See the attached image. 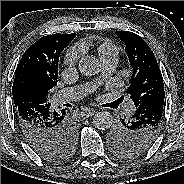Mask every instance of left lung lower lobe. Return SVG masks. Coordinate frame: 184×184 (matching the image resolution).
<instances>
[{
  "instance_id": "1",
  "label": "left lung lower lobe",
  "mask_w": 184,
  "mask_h": 184,
  "mask_svg": "<svg viewBox=\"0 0 184 184\" xmlns=\"http://www.w3.org/2000/svg\"><path fill=\"white\" fill-rule=\"evenodd\" d=\"M164 105V96L158 95L152 101L141 103L135 114L129 121L133 125L141 126L142 124L151 123L162 117Z\"/></svg>"
}]
</instances>
